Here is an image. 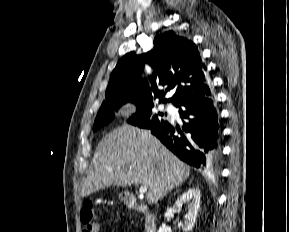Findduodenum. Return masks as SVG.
Instances as JSON below:
<instances>
[{
  "mask_svg": "<svg viewBox=\"0 0 289 232\" xmlns=\"http://www.w3.org/2000/svg\"><path fill=\"white\" fill-rule=\"evenodd\" d=\"M123 200L129 208L135 209L141 213L144 221L145 232H156V217L148 210L146 206L137 204L134 196L129 192L123 193Z\"/></svg>",
  "mask_w": 289,
  "mask_h": 232,
  "instance_id": "duodenum-1",
  "label": "duodenum"
}]
</instances>
